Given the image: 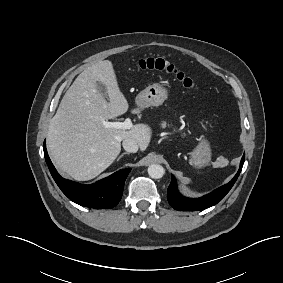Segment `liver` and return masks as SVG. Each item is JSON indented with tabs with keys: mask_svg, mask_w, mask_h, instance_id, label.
<instances>
[{
	"mask_svg": "<svg viewBox=\"0 0 283 283\" xmlns=\"http://www.w3.org/2000/svg\"><path fill=\"white\" fill-rule=\"evenodd\" d=\"M107 88L109 102L98 91ZM129 109L113 64L99 61L86 68L63 96L47 134V148L56 167L78 181H86L107 169L121 151V141L134 139L141 151L148 147L152 130L136 124L130 130L105 128L102 121L115 119Z\"/></svg>",
	"mask_w": 283,
	"mask_h": 283,
	"instance_id": "obj_1",
	"label": "liver"
}]
</instances>
